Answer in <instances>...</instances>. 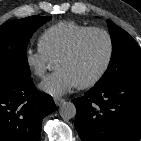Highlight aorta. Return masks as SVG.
Returning <instances> with one entry per match:
<instances>
[{"label": "aorta", "instance_id": "aorta-1", "mask_svg": "<svg viewBox=\"0 0 141 141\" xmlns=\"http://www.w3.org/2000/svg\"><path fill=\"white\" fill-rule=\"evenodd\" d=\"M59 114L64 120L72 119L76 116V107L72 102H64L59 107Z\"/></svg>", "mask_w": 141, "mask_h": 141}]
</instances>
